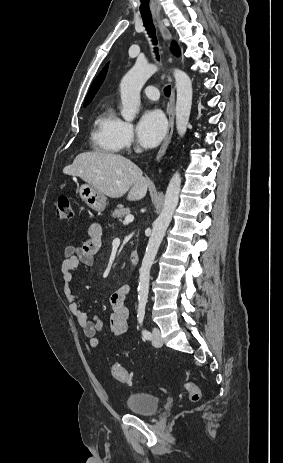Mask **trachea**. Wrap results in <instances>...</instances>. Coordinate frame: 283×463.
<instances>
[{"instance_id": "1", "label": "trachea", "mask_w": 283, "mask_h": 463, "mask_svg": "<svg viewBox=\"0 0 283 463\" xmlns=\"http://www.w3.org/2000/svg\"><path fill=\"white\" fill-rule=\"evenodd\" d=\"M142 19H143L144 27L146 28V31H147L148 35L152 39L153 45L156 46L157 45V38H156V35H155V27L153 25L151 15H142ZM154 52L156 53L157 60H159V54H158V48L157 47L154 48ZM164 93H165V95L167 97L170 96V94H171L170 85H168V86H166L164 88Z\"/></svg>"}]
</instances>
